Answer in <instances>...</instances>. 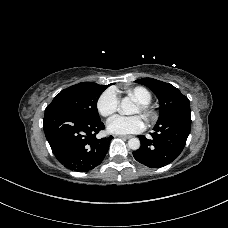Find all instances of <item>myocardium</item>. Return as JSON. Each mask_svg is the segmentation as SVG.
<instances>
[{
    "instance_id": "1",
    "label": "myocardium",
    "mask_w": 228,
    "mask_h": 228,
    "mask_svg": "<svg viewBox=\"0 0 228 228\" xmlns=\"http://www.w3.org/2000/svg\"><path fill=\"white\" fill-rule=\"evenodd\" d=\"M139 108L141 116L147 123H153L157 118V113L150 104L136 103Z\"/></svg>"
}]
</instances>
